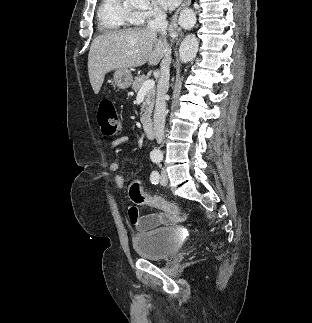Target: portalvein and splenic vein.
<instances>
[{"label": "portal vein and splenic vein", "mask_w": 312, "mask_h": 323, "mask_svg": "<svg viewBox=\"0 0 312 323\" xmlns=\"http://www.w3.org/2000/svg\"><path fill=\"white\" fill-rule=\"evenodd\" d=\"M154 86V80H147V82H144L143 86H141L138 92V96H140V94H146V92H148V90H151V88H154Z\"/></svg>", "instance_id": "18ae733b"}]
</instances>
